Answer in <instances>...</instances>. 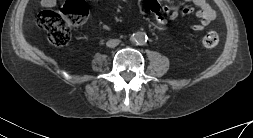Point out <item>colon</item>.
<instances>
[{
  "label": "colon",
  "instance_id": "5ec220e1",
  "mask_svg": "<svg viewBox=\"0 0 253 138\" xmlns=\"http://www.w3.org/2000/svg\"><path fill=\"white\" fill-rule=\"evenodd\" d=\"M88 15V7L83 0H68L61 10H44L37 17L38 25L48 32L50 42L55 46H65L71 39L74 27L84 23ZM219 42L215 32H208L202 39L206 48H213Z\"/></svg>",
  "mask_w": 253,
  "mask_h": 138
}]
</instances>
